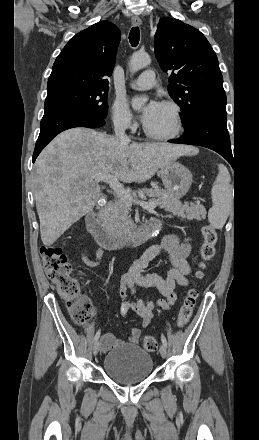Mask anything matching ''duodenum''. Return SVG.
Returning <instances> with one entry per match:
<instances>
[{
	"label": "duodenum",
	"instance_id": "obj_1",
	"mask_svg": "<svg viewBox=\"0 0 259 440\" xmlns=\"http://www.w3.org/2000/svg\"><path fill=\"white\" fill-rule=\"evenodd\" d=\"M111 205L110 201L105 202L90 212L86 218L87 230L98 244L106 248L115 249L139 245L154 236L160 228L159 221L156 218H151L130 231L111 232L105 225V218Z\"/></svg>",
	"mask_w": 259,
	"mask_h": 440
}]
</instances>
